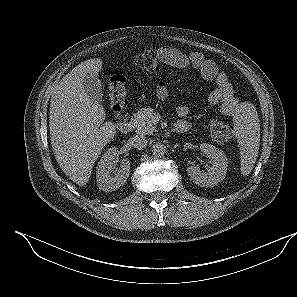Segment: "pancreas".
Wrapping results in <instances>:
<instances>
[{
	"mask_svg": "<svg viewBox=\"0 0 297 297\" xmlns=\"http://www.w3.org/2000/svg\"><path fill=\"white\" fill-rule=\"evenodd\" d=\"M154 116L155 113L152 108H142L134 114V117L131 119V124L137 133L152 135L157 131L155 128L156 122Z\"/></svg>",
	"mask_w": 297,
	"mask_h": 297,
	"instance_id": "1",
	"label": "pancreas"
}]
</instances>
